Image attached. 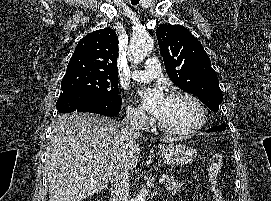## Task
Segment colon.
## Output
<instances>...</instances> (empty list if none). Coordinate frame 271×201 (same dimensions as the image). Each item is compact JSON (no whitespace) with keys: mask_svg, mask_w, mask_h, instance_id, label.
<instances>
[{"mask_svg":"<svg viewBox=\"0 0 271 201\" xmlns=\"http://www.w3.org/2000/svg\"><path fill=\"white\" fill-rule=\"evenodd\" d=\"M223 165V153L220 150H216L210 157V163L208 168V180L210 184L215 187L216 178ZM216 201H222L220 196L216 193Z\"/></svg>","mask_w":271,"mask_h":201,"instance_id":"5ec220e1","label":"colon"}]
</instances>
